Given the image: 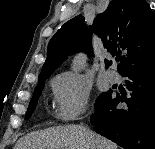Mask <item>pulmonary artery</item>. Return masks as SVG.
<instances>
[{
	"instance_id": "obj_1",
	"label": "pulmonary artery",
	"mask_w": 155,
	"mask_h": 149,
	"mask_svg": "<svg viewBox=\"0 0 155 149\" xmlns=\"http://www.w3.org/2000/svg\"><path fill=\"white\" fill-rule=\"evenodd\" d=\"M106 77L111 83H116L119 81V74L116 70H109L106 72Z\"/></svg>"
}]
</instances>
